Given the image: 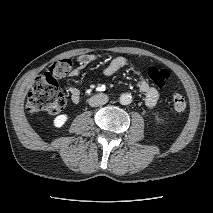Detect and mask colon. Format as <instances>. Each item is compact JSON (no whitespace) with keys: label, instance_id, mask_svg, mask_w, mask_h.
Masks as SVG:
<instances>
[{"label":"colon","instance_id":"5ec220e1","mask_svg":"<svg viewBox=\"0 0 213 213\" xmlns=\"http://www.w3.org/2000/svg\"><path fill=\"white\" fill-rule=\"evenodd\" d=\"M73 62L70 59H61L52 63L44 73L35 81V84L28 94L26 108L30 113L46 112L58 114L66 105V99L59 90L57 78L63 77L70 72ZM148 76L158 87H163L169 78L166 69L151 66L148 69ZM172 105L177 112L186 108L185 97L181 93L172 95Z\"/></svg>","mask_w":213,"mask_h":213}]
</instances>
